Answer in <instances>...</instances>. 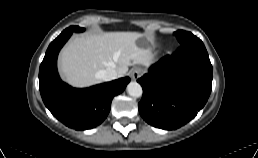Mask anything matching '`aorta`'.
<instances>
[{"label": "aorta", "mask_w": 258, "mask_h": 158, "mask_svg": "<svg viewBox=\"0 0 258 158\" xmlns=\"http://www.w3.org/2000/svg\"><path fill=\"white\" fill-rule=\"evenodd\" d=\"M127 92L130 96L138 98L142 96L143 90L139 83L137 82H130L127 85Z\"/></svg>", "instance_id": "aorta-1"}]
</instances>
